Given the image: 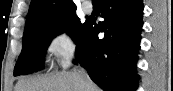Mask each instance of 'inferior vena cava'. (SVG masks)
<instances>
[{"label":"inferior vena cava","instance_id":"602c4592","mask_svg":"<svg viewBox=\"0 0 173 91\" xmlns=\"http://www.w3.org/2000/svg\"><path fill=\"white\" fill-rule=\"evenodd\" d=\"M78 76L82 80V82L84 79L89 78L87 72L83 68L78 71Z\"/></svg>","mask_w":173,"mask_h":91}]
</instances>
